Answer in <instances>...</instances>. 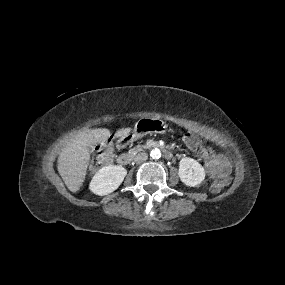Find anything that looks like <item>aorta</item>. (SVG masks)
Here are the masks:
<instances>
[{
  "label": "aorta",
  "instance_id": "aorta-1",
  "mask_svg": "<svg viewBox=\"0 0 285 285\" xmlns=\"http://www.w3.org/2000/svg\"><path fill=\"white\" fill-rule=\"evenodd\" d=\"M150 157L152 159H159L161 157V151L158 148H154L150 151Z\"/></svg>",
  "mask_w": 285,
  "mask_h": 285
}]
</instances>
